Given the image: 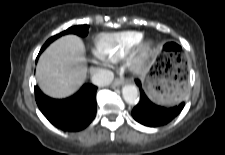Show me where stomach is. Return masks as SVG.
Instances as JSON below:
<instances>
[{"label":"stomach","mask_w":225,"mask_h":155,"mask_svg":"<svg viewBox=\"0 0 225 155\" xmlns=\"http://www.w3.org/2000/svg\"><path fill=\"white\" fill-rule=\"evenodd\" d=\"M142 83L149 97L158 104H175L186 94V81L176 68L162 66L154 58L144 75Z\"/></svg>","instance_id":"1"}]
</instances>
